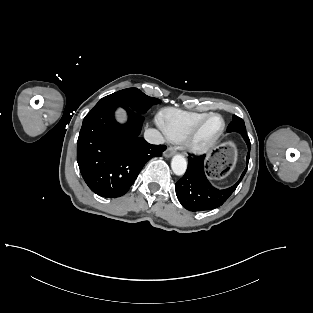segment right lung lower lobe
<instances>
[{
    "instance_id": "1",
    "label": "right lung lower lobe",
    "mask_w": 313,
    "mask_h": 313,
    "mask_svg": "<svg viewBox=\"0 0 313 313\" xmlns=\"http://www.w3.org/2000/svg\"><path fill=\"white\" fill-rule=\"evenodd\" d=\"M122 106L102 105L84 118L77 141V162L83 179L99 196L124 195L145 163L162 156L164 145L139 137L144 117L129 107L128 123L119 124L114 111Z\"/></svg>"
}]
</instances>
